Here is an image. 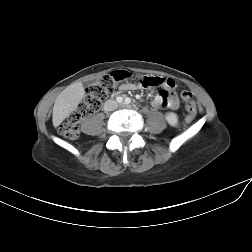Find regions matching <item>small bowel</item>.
<instances>
[{"label":"small bowel","instance_id":"small-bowel-1","mask_svg":"<svg viewBox=\"0 0 252 252\" xmlns=\"http://www.w3.org/2000/svg\"><path fill=\"white\" fill-rule=\"evenodd\" d=\"M148 79L157 85L154 87H160L162 90L158 96H156L152 101V106L156 109L160 108H170L176 109L178 107V98L176 96V83L172 78H160L148 76ZM142 87V85H137L134 83H128L123 86V90H135Z\"/></svg>","mask_w":252,"mask_h":252}]
</instances>
